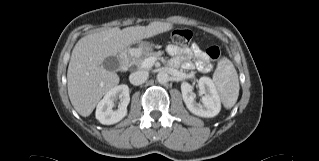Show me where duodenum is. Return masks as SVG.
Returning <instances> with one entry per match:
<instances>
[{"instance_id": "410a0bca", "label": "duodenum", "mask_w": 319, "mask_h": 161, "mask_svg": "<svg viewBox=\"0 0 319 161\" xmlns=\"http://www.w3.org/2000/svg\"><path fill=\"white\" fill-rule=\"evenodd\" d=\"M129 63V54L128 53H123V55L121 56V60H120V65L122 68L127 67Z\"/></svg>"}]
</instances>
